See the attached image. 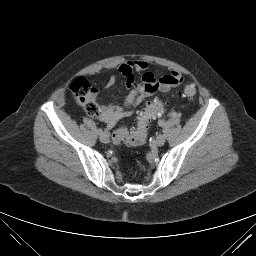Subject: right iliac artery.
<instances>
[{
    "mask_svg": "<svg viewBox=\"0 0 256 256\" xmlns=\"http://www.w3.org/2000/svg\"><path fill=\"white\" fill-rule=\"evenodd\" d=\"M97 132H98V134H102V133H103V130L99 128V129L97 130Z\"/></svg>",
    "mask_w": 256,
    "mask_h": 256,
    "instance_id": "1",
    "label": "right iliac artery"
}]
</instances>
